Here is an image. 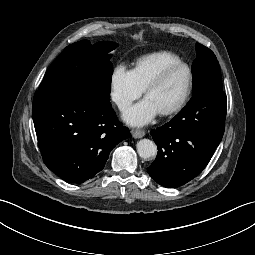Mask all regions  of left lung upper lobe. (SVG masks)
<instances>
[{
  "mask_svg": "<svg viewBox=\"0 0 255 255\" xmlns=\"http://www.w3.org/2000/svg\"><path fill=\"white\" fill-rule=\"evenodd\" d=\"M197 57L192 64L193 97L209 89L222 90L219 63L214 53L207 47L196 44Z\"/></svg>",
  "mask_w": 255,
  "mask_h": 255,
  "instance_id": "left-lung-upper-lobe-1",
  "label": "left lung upper lobe"
}]
</instances>
